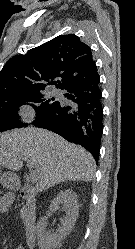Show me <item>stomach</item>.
Wrapping results in <instances>:
<instances>
[{
	"label": "stomach",
	"instance_id": "stomach-1",
	"mask_svg": "<svg viewBox=\"0 0 135 249\" xmlns=\"http://www.w3.org/2000/svg\"><path fill=\"white\" fill-rule=\"evenodd\" d=\"M0 181H2L6 186L13 185L16 183V178L9 173L1 174L0 171Z\"/></svg>",
	"mask_w": 135,
	"mask_h": 249
}]
</instances>
